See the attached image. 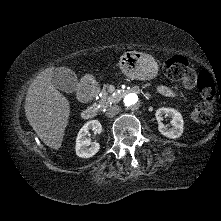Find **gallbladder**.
<instances>
[{
    "instance_id": "obj_1",
    "label": "gallbladder",
    "mask_w": 221,
    "mask_h": 221,
    "mask_svg": "<svg viewBox=\"0 0 221 221\" xmlns=\"http://www.w3.org/2000/svg\"><path fill=\"white\" fill-rule=\"evenodd\" d=\"M51 78L53 85L65 93H74L78 88V78L75 72L68 67L56 68Z\"/></svg>"
}]
</instances>
